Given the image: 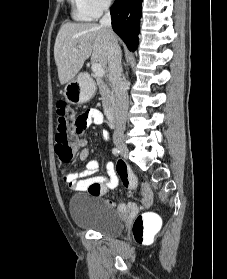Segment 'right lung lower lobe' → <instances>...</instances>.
Wrapping results in <instances>:
<instances>
[{"label": "right lung lower lobe", "instance_id": "obj_1", "mask_svg": "<svg viewBox=\"0 0 227 279\" xmlns=\"http://www.w3.org/2000/svg\"><path fill=\"white\" fill-rule=\"evenodd\" d=\"M141 3L142 0H115L110 9L113 30L132 51L138 45Z\"/></svg>", "mask_w": 227, "mask_h": 279}]
</instances>
